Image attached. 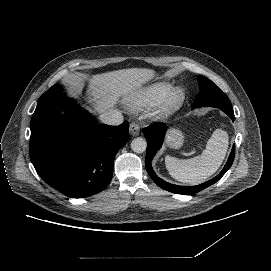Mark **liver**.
Here are the masks:
<instances>
[{
	"instance_id": "obj_1",
	"label": "liver",
	"mask_w": 271,
	"mask_h": 271,
	"mask_svg": "<svg viewBox=\"0 0 271 271\" xmlns=\"http://www.w3.org/2000/svg\"><path fill=\"white\" fill-rule=\"evenodd\" d=\"M154 75V70L146 68H129L93 75L89 82L88 93H91L97 111L103 113L114 107L121 95L140 88ZM85 78L86 76L77 81L69 80L70 88L73 91L76 90L78 83H81L83 87Z\"/></svg>"
}]
</instances>
